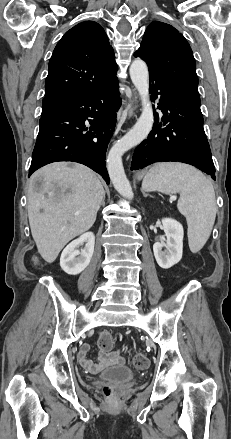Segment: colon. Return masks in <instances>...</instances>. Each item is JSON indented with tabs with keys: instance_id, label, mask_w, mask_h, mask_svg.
<instances>
[{
	"instance_id": "obj_1",
	"label": "colon",
	"mask_w": 231,
	"mask_h": 439,
	"mask_svg": "<svg viewBox=\"0 0 231 439\" xmlns=\"http://www.w3.org/2000/svg\"><path fill=\"white\" fill-rule=\"evenodd\" d=\"M98 345L102 350L109 351L113 346L112 335L109 332L102 333L99 337ZM132 364L136 370L142 371L148 367L149 360L144 353L137 352L133 356ZM102 391L106 397H113L116 393V388L112 385H104Z\"/></svg>"
}]
</instances>
